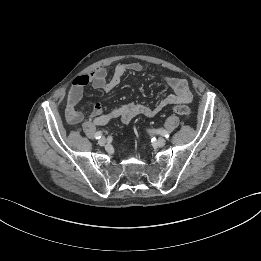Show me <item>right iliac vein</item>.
<instances>
[{
	"label": "right iliac vein",
	"instance_id": "63e3f726",
	"mask_svg": "<svg viewBox=\"0 0 261 261\" xmlns=\"http://www.w3.org/2000/svg\"><path fill=\"white\" fill-rule=\"evenodd\" d=\"M98 144L100 146H104L106 144V139L104 137L100 138L99 141H98Z\"/></svg>",
	"mask_w": 261,
	"mask_h": 261
}]
</instances>
